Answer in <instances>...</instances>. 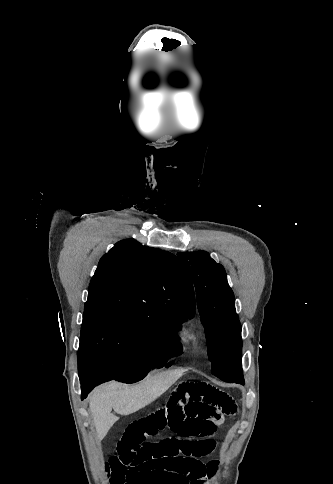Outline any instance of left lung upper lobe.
Instances as JSON below:
<instances>
[{
    "label": "left lung upper lobe",
    "mask_w": 333,
    "mask_h": 484,
    "mask_svg": "<svg viewBox=\"0 0 333 484\" xmlns=\"http://www.w3.org/2000/svg\"><path fill=\"white\" fill-rule=\"evenodd\" d=\"M177 255L194 281L212 373L227 382H244L239 361L241 325L224 267L206 251L179 252Z\"/></svg>",
    "instance_id": "obj_1"
}]
</instances>
